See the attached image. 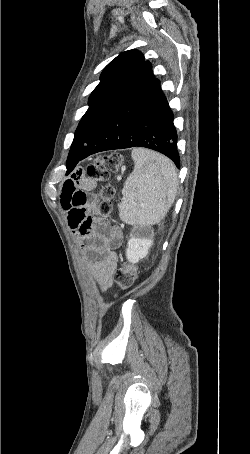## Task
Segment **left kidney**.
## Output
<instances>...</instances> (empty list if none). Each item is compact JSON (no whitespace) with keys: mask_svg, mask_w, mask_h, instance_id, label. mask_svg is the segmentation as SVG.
Returning <instances> with one entry per match:
<instances>
[{"mask_svg":"<svg viewBox=\"0 0 250 454\" xmlns=\"http://www.w3.org/2000/svg\"><path fill=\"white\" fill-rule=\"evenodd\" d=\"M153 244V240L141 235H133L128 240L126 249V257L129 262L137 263L139 260L148 255L149 249Z\"/></svg>","mask_w":250,"mask_h":454,"instance_id":"left-kidney-1","label":"left kidney"}]
</instances>
